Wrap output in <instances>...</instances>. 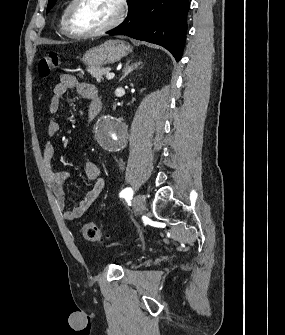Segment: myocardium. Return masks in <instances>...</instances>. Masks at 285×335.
Returning a JSON list of instances; mask_svg holds the SVG:
<instances>
[{
  "mask_svg": "<svg viewBox=\"0 0 285 335\" xmlns=\"http://www.w3.org/2000/svg\"><path fill=\"white\" fill-rule=\"evenodd\" d=\"M87 1H73L67 18V28L69 33L78 38H92L100 36L114 27H116L122 20L125 14V4L126 1H113L115 6V15L112 20L107 23L104 27L97 30H84L77 24V13L79 8Z\"/></svg>",
  "mask_w": 285,
  "mask_h": 335,
  "instance_id": "obj_1",
  "label": "myocardium"
}]
</instances>
